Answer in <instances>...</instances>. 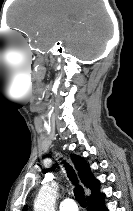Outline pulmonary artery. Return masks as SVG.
I'll return each instance as SVG.
<instances>
[{
    "instance_id": "e3ab8cb5",
    "label": "pulmonary artery",
    "mask_w": 133,
    "mask_h": 211,
    "mask_svg": "<svg viewBox=\"0 0 133 211\" xmlns=\"http://www.w3.org/2000/svg\"><path fill=\"white\" fill-rule=\"evenodd\" d=\"M60 211H78L75 201L71 198L62 200L59 204Z\"/></svg>"
}]
</instances>
